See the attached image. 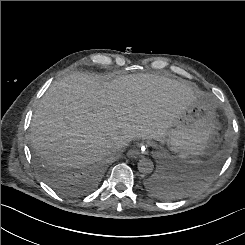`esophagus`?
<instances>
[{
    "label": "esophagus",
    "mask_w": 245,
    "mask_h": 245,
    "mask_svg": "<svg viewBox=\"0 0 245 245\" xmlns=\"http://www.w3.org/2000/svg\"><path fill=\"white\" fill-rule=\"evenodd\" d=\"M148 148L147 145L144 143H141L137 146V149H134L128 153V156L131 158H136L139 154H147Z\"/></svg>",
    "instance_id": "1"
}]
</instances>
